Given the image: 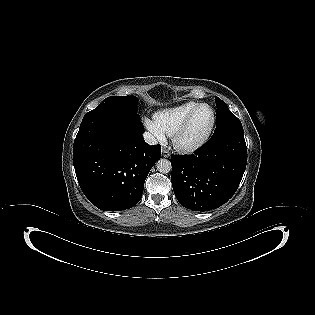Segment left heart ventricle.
<instances>
[{
    "label": "left heart ventricle",
    "instance_id": "left-heart-ventricle-1",
    "mask_svg": "<svg viewBox=\"0 0 315 315\" xmlns=\"http://www.w3.org/2000/svg\"><path fill=\"white\" fill-rule=\"evenodd\" d=\"M211 120V110L208 107L201 108L194 116L188 130L182 137V143L191 144L199 140L208 130Z\"/></svg>",
    "mask_w": 315,
    "mask_h": 315
}]
</instances>
